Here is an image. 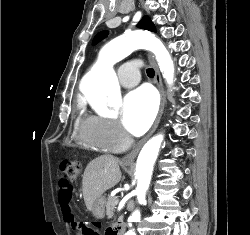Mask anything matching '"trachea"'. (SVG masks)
Listing matches in <instances>:
<instances>
[{"mask_svg": "<svg viewBox=\"0 0 250 235\" xmlns=\"http://www.w3.org/2000/svg\"><path fill=\"white\" fill-rule=\"evenodd\" d=\"M147 75L153 77L155 75V71L152 68L147 69Z\"/></svg>", "mask_w": 250, "mask_h": 235, "instance_id": "obj_1", "label": "trachea"}]
</instances>
